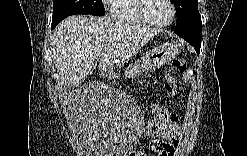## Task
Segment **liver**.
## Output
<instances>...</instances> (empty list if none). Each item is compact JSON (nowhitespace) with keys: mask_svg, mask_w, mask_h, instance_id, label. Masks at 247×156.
I'll return each mask as SVG.
<instances>
[{"mask_svg":"<svg viewBox=\"0 0 247 156\" xmlns=\"http://www.w3.org/2000/svg\"><path fill=\"white\" fill-rule=\"evenodd\" d=\"M160 30L87 15L64 19L53 32L52 57L60 85L77 86L93 69L112 72L134 57ZM74 109V108H72Z\"/></svg>","mask_w":247,"mask_h":156,"instance_id":"obj_1","label":"liver"}]
</instances>
